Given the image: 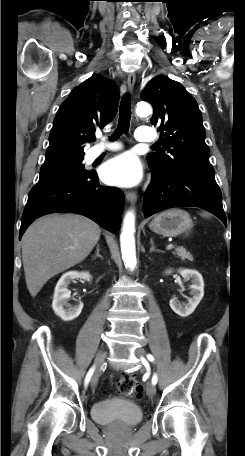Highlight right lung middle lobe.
<instances>
[{
    "label": "right lung middle lobe",
    "mask_w": 245,
    "mask_h": 456,
    "mask_svg": "<svg viewBox=\"0 0 245 456\" xmlns=\"http://www.w3.org/2000/svg\"><path fill=\"white\" fill-rule=\"evenodd\" d=\"M82 161L83 159H78L52 167L41 168L38 182H48L87 175L90 172L85 170V165Z\"/></svg>",
    "instance_id": "obj_1"
}]
</instances>
